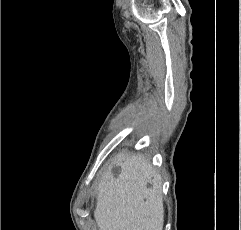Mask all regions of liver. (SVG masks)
<instances>
[{"mask_svg":"<svg viewBox=\"0 0 241 230\" xmlns=\"http://www.w3.org/2000/svg\"><path fill=\"white\" fill-rule=\"evenodd\" d=\"M117 163L120 174L106 176L98 187L94 217L99 230H162L164 207L156 170L137 155L118 157Z\"/></svg>","mask_w":241,"mask_h":230,"instance_id":"1","label":"liver"}]
</instances>
